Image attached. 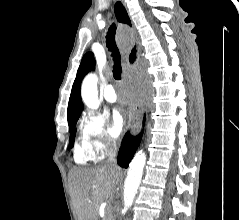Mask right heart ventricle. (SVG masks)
Returning <instances> with one entry per match:
<instances>
[{"instance_id":"right-heart-ventricle-1","label":"right heart ventricle","mask_w":239,"mask_h":220,"mask_svg":"<svg viewBox=\"0 0 239 220\" xmlns=\"http://www.w3.org/2000/svg\"><path fill=\"white\" fill-rule=\"evenodd\" d=\"M74 160L78 164H87L95 160L91 150L84 141H79L74 149Z\"/></svg>"}]
</instances>
